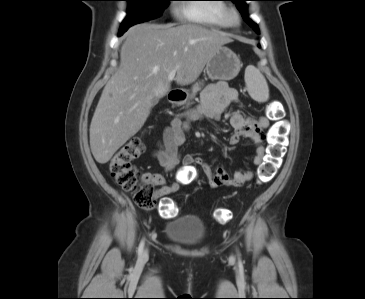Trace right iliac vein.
Returning a JSON list of instances; mask_svg holds the SVG:
<instances>
[{
  "label": "right iliac vein",
  "mask_w": 365,
  "mask_h": 299,
  "mask_svg": "<svg viewBox=\"0 0 365 299\" xmlns=\"http://www.w3.org/2000/svg\"><path fill=\"white\" fill-rule=\"evenodd\" d=\"M148 258V250H145L141 255V261L145 262Z\"/></svg>",
  "instance_id": "1"
}]
</instances>
